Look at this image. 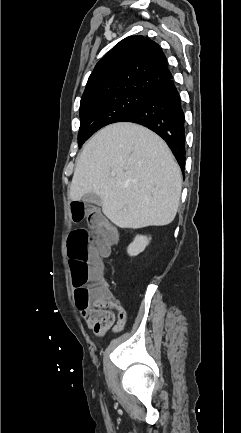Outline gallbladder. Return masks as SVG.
Segmentation results:
<instances>
[{
	"instance_id": "gallbladder-1",
	"label": "gallbladder",
	"mask_w": 241,
	"mask_h": 433,
	"mask_svg": "<svg viewBox=\"0 0 241 433\" xmlns=\"http://www.w3.org/2000/svg\"><path fill=\"white\" fill-rule=\"evenodd\" d=\"M84 203H93V204H101L102 200L100 198V196H98L97 194L94 193H87L83 196L82 198Z\"/></svg>"
}]
</instances>
